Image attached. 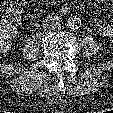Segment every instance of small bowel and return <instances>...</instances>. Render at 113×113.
<instances>
[{"mask_svg": "<svg viewBox=\"0 0 113 113\" xmlns=\"http://www.w3.org/2000/svg\"><path fill=\"white\" fill-rule=\"evenodd\" d=\"M12 14H13L15 21L18 22L20 20V12L12 10ZM96 28L99 34H101L102 36L113 37V24H104L101 21H97Z\"/></svg>", "mask_w": 113, "mask_h": 113, "instance_id": "c3829d8e", "label": "small bowel"}]
</instances>
